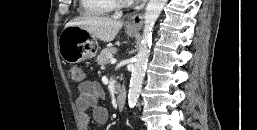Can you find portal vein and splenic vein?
<instances>
[{
	"label": "portal vein and splenic vein",
	"instance_id": "portal-vein-and-splenic-vein-1",
	"mask_svg": "<svg viewBox=\"0 0 257 130\" xmlns=\"http://www.w3.org/2000/svg\"><path fill=\"white\" fill-rule=\"evenodd\" d=\"M116 62H117V60H116L115 58H111V59H110V63H111V64H115Z\"/></svg>",
	"mask_w": 257,
	"mask_h": 130
}]
</instances>
